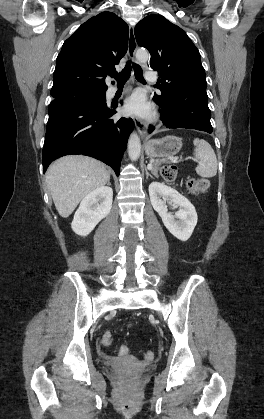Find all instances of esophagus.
I'll return each mask as SVG.
<instances>
[{
	"label": "esophagus",
	"mask_w": 264,
	"mask_h": 419,
	"mask_svg": "<svg viewBox=\"0 0 264 419\" xmlns=\"http://www.w3.org/2000/svg\"><path fill=\"white\" fill-rule=\"evenodd\" d=\"M137 49V42H136V38H135V34H134V27H130V31H129V39H128V52L127 55L129 57V59L131 60V64L134 65L135 64V52ZM134 123L136 126V129L138 131V133L140 134L141 138H146L147 137V129H146V125L144 124V122H142L139 119L134 118Z\"/></svg>",
	"instance_id": "1"
}]
</instances>
